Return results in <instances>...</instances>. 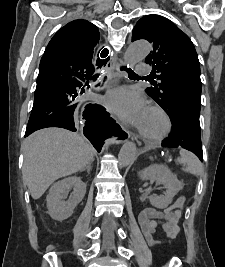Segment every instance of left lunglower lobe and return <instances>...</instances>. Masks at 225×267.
<instances>
[{
  "instance_id": "0a47b994",
  "label": "left lung lower lobe",
  "mask_w": 225,
  "mask_h": 267,
  "mask_svg": "<svg viewBox=\"0 0 225 267\" xmlns=\"http://www.w3.org/2000/svg\"><path fill=\"white\" fill-rule=\"evenodd\" d=\"M201 101L195 96L183 98L177 105L171 119L172 131L162 142L163 147H182L203 159L200 135Z\"/></svg>"
}]
</instances>
